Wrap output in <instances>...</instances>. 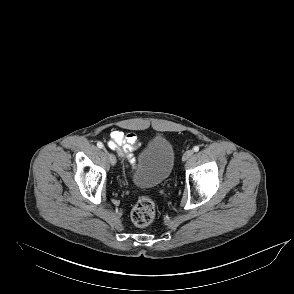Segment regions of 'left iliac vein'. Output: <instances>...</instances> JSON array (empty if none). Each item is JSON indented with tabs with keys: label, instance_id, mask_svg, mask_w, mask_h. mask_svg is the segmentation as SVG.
Returning a JSON list of instances; mask_svg holds the SVG:
<instances>
[{
	"label": "left iliac vein",
	"instance_id": "1",
	"mask_svg": "<svg viewBox=\"0 0 294 294\" xmlns=\"http://www.w3.org/2000/svg\"><path fill=\"white\" fill-rule=\"evenodd\" d=\"M193 154H194V151L193 150H187L185 153H184V155H183V157H182V160L183 161H186V160H188L189 158H191L192 156H193Z\"/></svg>",
	"mask_w": 294,
	"mask_h": 294
}]
</instances>
